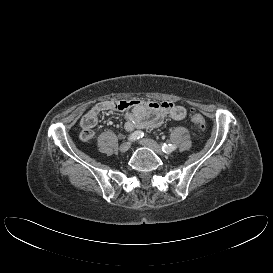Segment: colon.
Segmentation results:
<instances>
[{"label": "colon", "mask_w": 273, "mask_h": 273, "mask_svg": "<svg viewBox=\"0 0 273 273\" xmlns=\"http://www.w3.org/2000/svg\"><path fill=\"white\" fill-rule=\"evenodd\" d=\"M191 121L195 124V126L200 129L203 130L206 127V121L205 118L197 112H193L191 114Z\"/></svg>", "instance_id": "obj_1"}]
</instances>
